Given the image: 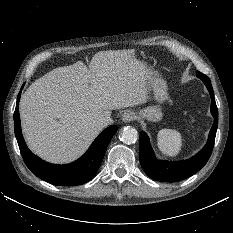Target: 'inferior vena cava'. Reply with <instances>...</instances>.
Returning a JSON list of instances; mask_svg holds the SVG:
<instances>
[{
	"mask_svg": "<svg viewBox=\"0 0 233 233\" xmlns=\"http://www.w3.org/2000/svg\"><path fill=\"white\" fill-rule=\"evenodd\" d=\"M113 122L112 118L110 117V115H103L102 117H100L97 121V124L100 127H105L109 124H111Z\"/></svg>",
	"mask_w": 233,
	"mask_h": 233,
	"instance_id": "inferior-vena-cava-1",
	"label": "inferior vena cava"
}]
</instances>
